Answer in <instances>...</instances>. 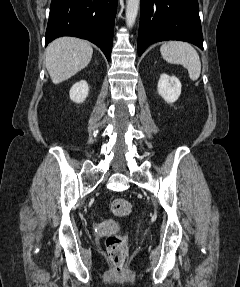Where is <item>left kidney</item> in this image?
Masks as SVG:
<instances>
[{
	"mask_svg": "<svg viewBox=\"0 0 240 287\" xmlns=\"http://www.w3.org/2000/svg\"><path fill=\"white\" fill-rule=\"evenodd\" d=\"M158 94L167 102L174 103L181 94V83L175 76H169L163 73L160 76L158 86Z\"/></svg>",
	"mask_w": 240,
	"mask_h": 287,
	"instance_id": "obj_1",
	"label": "left kidney"
}]
</instances>
